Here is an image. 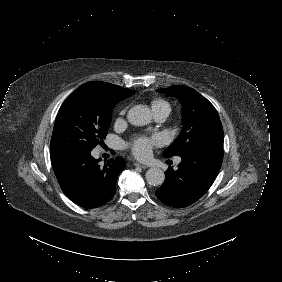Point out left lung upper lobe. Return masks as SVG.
<instances>
[{
  "label": "left lung upper lobe",
  "instance_id": "obj_1",
  "mask_svg": "<svg viewBox=\"0 0 282 282\" xmlns=\"http://www.w3.org/2000/svg\"><path fill=\"white\" fill-rule=\"evenodd\" d=\"M159 92L177 98L183 106V129L165 150V158L180 156L201 145L223 146V128L214 106L196 90L187 86H172Z\"/></svg>",
  "mask_w": 282,
  "mask_h": 282
}]
</instances>
